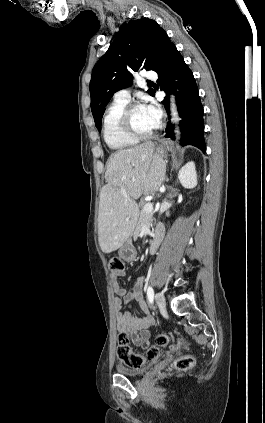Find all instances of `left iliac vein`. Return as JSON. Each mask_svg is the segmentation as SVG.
<instances>
[{
  "label": "left iliac vein",
  "mask_w": 265,
  "mask_h": 423,
  "mask_svg": "<svg viewBox=\"0 0 265 423\" xmlns=\"http://www.w3.org/2000/svg\"><path fill=\"white\" fill-rule=\"evenodd\" d=\"M155 301H156L157 305L159 306V308L165 309L166 301H165V297L162 293H160V292L156 293Z\"/></svg>",
  "instance_id": "obj_1"
}]
</instances>
